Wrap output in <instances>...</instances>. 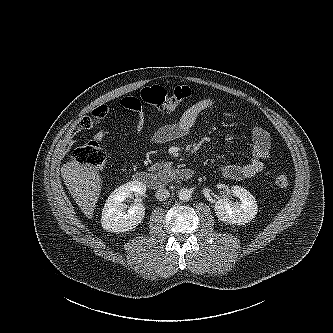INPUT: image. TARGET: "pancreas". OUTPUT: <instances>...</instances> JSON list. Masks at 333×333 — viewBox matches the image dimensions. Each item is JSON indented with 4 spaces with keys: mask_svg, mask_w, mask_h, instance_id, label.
Returning <instances> with one entry per match:
<instances>
[{
    "mask_svg": "<svg viewBox=\"0 0 333 333\" xmlns=\"http://www.w3.org/2000/svg\"><path fill=\"white\" fill-rule=\"evenodd\" d=\"M171 165V163H156L153 168L154 169H162V168H168Z\"/></svg>",
    "mask_w": 333,
    "mask_h": 333,
    "instance_id": "pancreas-1",
    "label": "pancreas"
}]
</instances>
